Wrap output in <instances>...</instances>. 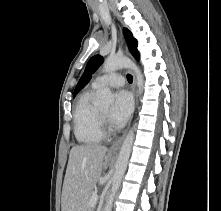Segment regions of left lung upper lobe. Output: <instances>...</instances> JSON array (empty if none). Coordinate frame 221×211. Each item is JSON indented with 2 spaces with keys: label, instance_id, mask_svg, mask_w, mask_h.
I'll list each match as a JSON object with an SVG mask.
<instances>
[{
  "label": "left lung upper lobe",
  "instance_id": "5c2ea615",
  "mask_svg": "<svg viewBox=\"0 0 221 211\" xmlns=\"http://www.w3.org/2000/svg\"><path fill=\"white\" fill-rule=\"evenodd\" d=\"M123 33L125 36V39L127 41L128 47L132 55L135 59L139 60V52L137 50V41L133 38L132 33L127 29H123ZM103 62V58L100 55L93 56L87 66L86 69L80 78V81L78 82V85L76 89L74 90L73 97L76 96V94L85 87V85L90 81L92 74L97 70V68L100 66V64Z\"/></svg>",
  "mask_w": 221,
  "mask_h": 211
}]
</instances>
